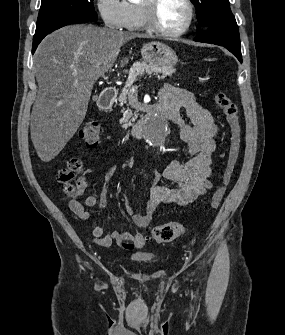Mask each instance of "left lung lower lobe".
I'll list each match as a JSON object with an SVG mask.
<instances>
[{"mask_svg":"<svg viewBox=\"0 0 285 335\" xmlns=\"http://www.w3.org/2000/svg\"><path fill=\"white\" fill-rule=\"evenodd\" d=\"M195 41L224 46L242 62L239 30L236 22L219 23L207 27Z\"/></svg>","mask_w":285,"mask_h":335,"instance_id":"0a47b994","label":"left lung lower lobe"}]
</instances>
